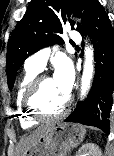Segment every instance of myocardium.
I'll list each match as a JSON object with an SVG mask.
<instances>
[{
    "instance_id": "myocardium-1",
    "label": "myocardium",
    "mask_w": 114,
    "mask_h": 156,
    "mask_svg": "<svg viewBox=\"0 0 114 156\" xmlns=\"http://www.w3.org/2000/svg\"><path fill=\"white\" fill-rule=\"evenodd\" d=\"M51 77L47 74L37 75L29 84L26 89L23 104L27 112L30 116L36 120H54L64 117L70 108L71 105V97L68 96V99L62 109L54 114H48L43 112L38 105V95L41 88L42 83L50 79Z\"/></svg>"
}]
</instances>
